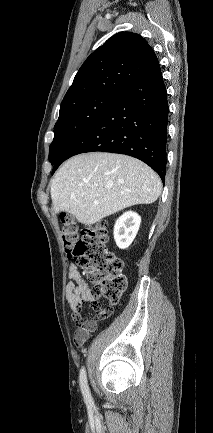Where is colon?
Wrapping results in <instances>:
<instances>
[{
    "instance_id": "obj_1",
    "label": "colon",
    "mask_w": 213,
    "mask_h": 433,
    "mask_svg": "<svg viewBox=\"0 0 213 433\" xmlns=\"http://www.w3.org/2000/svg\"><path fill=\"white\" fill-rule=\"evenodd\" d=\"M61 238L68 259L76 261L85 271L91 284L94 297H104L109 306L101 308L96 301L91 302L97 319H104L112 312V305L116 304L126 289L127 281L124 266L108 246V232L106 223L101 221L86 227L78 235L77 225L68 215L60 217ZM73 321L81 329L86 321L80 313L74 314Z\"/></svg>"
}]
</instances>
